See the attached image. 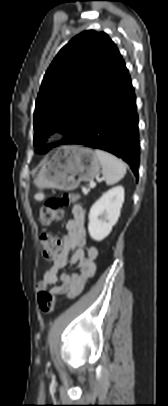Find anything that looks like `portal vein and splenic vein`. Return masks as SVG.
<instances>
[{
    "mask_svg": "<svg viewBox=\"0 0 168 406\" xmlns=\"http://www.w3.org/2000/svg\"><path fill=\"white\" fill-rule=\"evenodd\" d=\"M95 186H96V183H95V182H90V183H89V187H90V188H94Z\"/></svg>",
    "mask_w": 168,
    "mask_h": 406,
    "instance_id": "1",
    "label": "portal vein and splenic vein"
}]
</instances>
